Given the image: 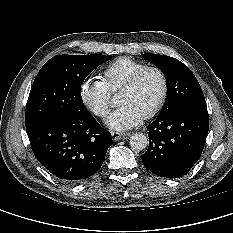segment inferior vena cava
I'll list each match as a JSON object with an SVG mask.
<instances>
[{
    "instance_id": "1",
    "label": "inferior vena cava",
    "mask_w": 233,
    "mask_h": 233,
    "mask_svg": "<svg viewBox=\"0 0 233 233\" xmlns=\"http://www.w3.org/2000/svg\"><path fill=\"white\" fill-rule=\"evenodd\" d=\"M100 114H101V116H106L107 115V110L102 109Z\"/></svg>"
}]
</instances>
